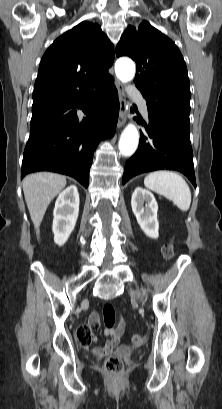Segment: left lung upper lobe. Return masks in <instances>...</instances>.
<instances>
[{
    "instance_id": "obj_1",
    "label": "left lung upper lobe",
    "mask_w": 222,
    "mask_h": 409,
    "mask_svg": "<svg viewBox=\"0 0 222 409\" xmlns=\"http://www.w3.org/2000/svg\"><path fill=\"white\" fill-rule=\"evenodd\" d=\"M116 55L129 56L136 62L134 83L147 106L177 99L190 111V84L182 54L149 22L128 26L116 47Z\"/></svg>"
}]
</instances>
